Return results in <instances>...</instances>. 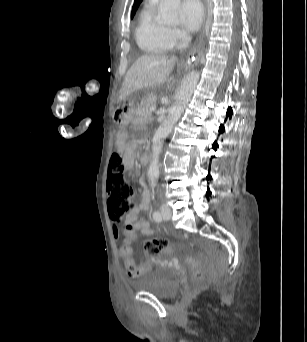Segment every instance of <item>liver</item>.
Wrapping results in <instances>:
<instances>
[{"label":"liver","mask_w":307,"mask_h":342,"mask_svg":"<svg viewBox=\"0 0 307 342\" xmlns=\"http://www.w3.org/2000/svg\"><path fill=\"white\" fill-rule=\"evenodd\" d=\"M176 58L169 60L163 54H145L140 56L131 68H129L121 86L119 98L125 100L127 96L141 90V88H152L162 86L167 82L171 74Z\"/></svg>","instance_id":"6515ba94"}]
</instances>
